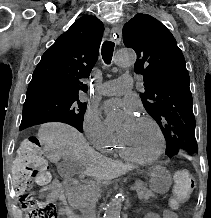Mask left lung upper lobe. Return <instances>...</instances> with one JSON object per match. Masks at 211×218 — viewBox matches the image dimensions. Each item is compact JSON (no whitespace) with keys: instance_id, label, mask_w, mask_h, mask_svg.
<instances>
[{"instance_id":"obj_1","label":"left lung upper lobe","mask_w":211,"mask_h":218,"mask_svg":"<svg viewBox=\"0 0 211 218\" xmlns=\"http://www.w3.org/2000/svg\"><path fill=\"white\" fill-rule=\"evenodd\" d=\"M123 40L137 54L134 70L143 75L145 90L140 97L161 128L166 155L195 157L198 147L190 78L174 36L154 17L138 13L124 25Z\"/></svg>"}]
</instances>
